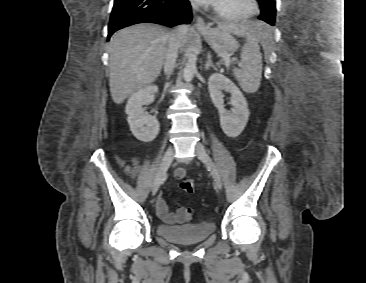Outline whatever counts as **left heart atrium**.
<instances>
[{
    "label": "left heart atrium",
    "mask_w": 366,
    "mask_h": 283,
    "mask_svg": "<svg viewBox=\"0 0 366 283\" xmlns=\"http://www.w3.org/2000/svg\"><path fill=\"white\" fill-rule=\"evenodd\" d=\"M197 3H202V4H217L218 0H193Z\"/></svg>",
    "instance_id": "left-heart-atrium-1"
}]
</instances>
